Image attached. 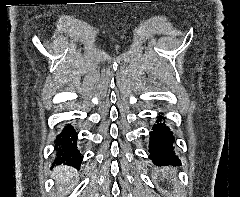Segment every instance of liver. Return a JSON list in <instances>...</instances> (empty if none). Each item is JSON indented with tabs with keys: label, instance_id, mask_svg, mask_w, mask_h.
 <instances>
[{
	"label": "liver",
	"instance_id": "1",
	"mask_svg": "<svg viewBox=\"0 0 240 197\" xmlns=\"http://www.w3.org/2000/svg\"><path fill=\"white\" fill-rule=\"evenodd\" d=\"M75 170L69 166H58L54 168L52 175L56 179L57 184H66L74 176Z\"/></svg>",
	"mask_w": 240,
	"mask_h": 197
}]
</instances>
